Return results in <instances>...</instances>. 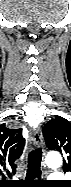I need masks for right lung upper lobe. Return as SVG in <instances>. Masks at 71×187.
I'll list each match as a JSON object with an SVG mask.
<instances>
[{
	"label": "right lung upper lobe",
	"mask_w": 71,
	"mask_h": 187,
	"mask_svg": "<svg viewBox=\"0 0 71 187\" xmlns=\"http://www.w3.org/2000/svg\"><path fill=\"white\" fill-rule=\"evenodd\" d=\"M24 145L21 129H9L5 124L0 125V158L4 172H15L14 162L21 156Z\"/></svg>",
	"instance_id": "right-lung-upper-lobe-1"
}]
</instances>
